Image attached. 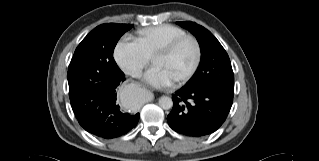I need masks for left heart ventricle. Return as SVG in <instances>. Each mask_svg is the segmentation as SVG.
Instances as JSON below:
<instances>
[{"label": "left heart ventricle", "mask_w": 319, "mask_h": 161, "mask_svg": "<svg viewBox=\"0 0 319 161\" xmlns=\"http://www.w3.org/2000/svg\"><path fill=\"white\" fill-rule=\"evenodd\" d=\"M194 57V45L191 41L187 40L180 44L171 55L156 58L153 63L161 67L174 81L191 67Z\"/></svg>", "instance_id": "left-heart-ventricle-1"}]
</instances>
